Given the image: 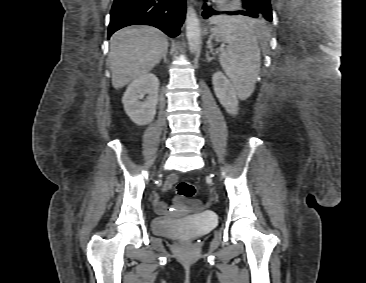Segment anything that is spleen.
<instances>
[{
  "label": "spleen",
  "mask_w": 366,
  "mask_h": 283,
  "mask_svg": "<svg viewBox=\"0 0 366 283\" xmlns=\"http://www.w3.org/2000/svg\"><path fill=\"white\" fill-rule=\"evenodd\" d=\"M222 30L226 49L220 50L219 62L231 80L237 95L247 99L254 91L261 65L258 41L264 26L254 19L217 16L212 20Z\"/></svg>",
  "instance_id": "1"
}]
</instances>
